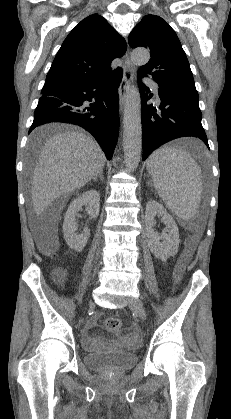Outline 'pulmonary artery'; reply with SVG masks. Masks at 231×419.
<instances>
[{"label": "pulmonary artery", "mask_w": 231, "mask_h": 419, "mask_svg": "<svg viewBox=\"0 0 231 419\" xmlns=\"http://www.w3.org/2000/svg\"><path fill=\"white\" fill-rule=\"evenodd\" d=\"M145 83L154 90L156 98L159 99L158 84L154 80L149 79Z\"/></svg>", "instance_id": "pulmonary-artery-1"}]
</instances>
